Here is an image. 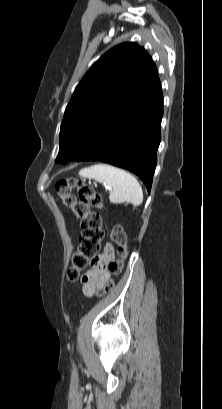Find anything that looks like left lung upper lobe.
I'll list each match as a JSON object with an SVG mask.
<instances>
[{"label":"left lung upper lobe","mask_w":222,"mask_h":409,"mask_svg":"<svg viewBox=\"0 0 222 409\" xmlns=\"http://www.w3.org/2000/svg\"><path fill=\"white\" fill-rule=\"evenodd\" d=\"M161 88L156 66L136 43H122L95 62L79 82L60 128L58 163L77 160L127 100L145 101Z\"/></svg>","instance_id":"left-lung-upper-lobe-1"}]
</instances>
